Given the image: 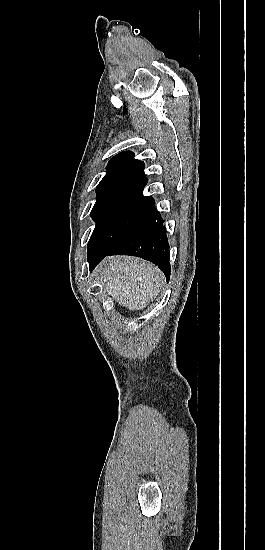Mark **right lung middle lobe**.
Segmentation results:
<instances>
[{
    "instance_id": "1",
    "label": "right lung middle lobe",
    "mask_w": 265,
    "mask_h": 550,
    "mask_svg": "<svg viewBox=\"0 0 265 550\" xmlns=\"http://www.w3.org/2000/svg\"><path fill=\"white\" fill-rule=\"evenodd\" d=\"M143 189H122L97 196L91 211L96 227L88 242V254L108 251L124 237L154 204Z\"/></svg>"
}]
</instances>
